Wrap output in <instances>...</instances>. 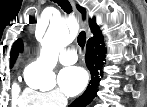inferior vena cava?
Instances as JSON below:
<instances>
[{
	"mask_svg": "<svg viewBox=\"0 0 147 107\" xmlns=\"http://www.w3.org/2000/svg\"><path fill=\"white\" fill-rule=\"evenodd\" d=\"M62 105H61V107H66V105H67V99L65 98V97H62Z\"/></svg>",
	"mask_w": 147,
	"mask_h": 107,
	"instance_id": "602c4592",
	"label": "inferior vena cava"
}]
</instances>
